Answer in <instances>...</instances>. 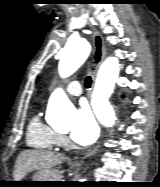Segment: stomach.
<instances>
[{
    "label": "stomach",
    "instance_id": "stomach-1",
    "mask_svg": "<svg viewBox=\"0 0 160 187\" xmlns=\"http://www.w3.org/2000/svg\"><path fill=\"white\" fill-rule=\"evenodd\" d=\"M59 173L56 170L50 169L45 171H38L32 178L31 182L24 184L28 187H48L54 184L52 182H59Z\"/></svg>",
    "mask_w": 160,
    "mask_h": 187
}]
</instances>
